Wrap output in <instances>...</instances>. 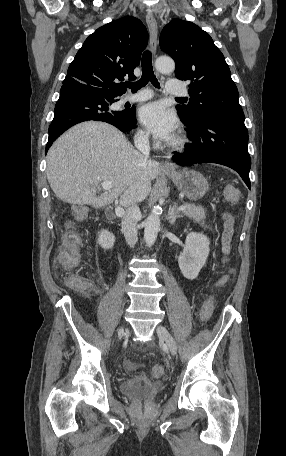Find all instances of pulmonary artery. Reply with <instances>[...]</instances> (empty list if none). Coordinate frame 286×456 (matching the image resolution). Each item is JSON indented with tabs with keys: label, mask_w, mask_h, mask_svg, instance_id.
Wrapping results in <instances>:
<instances>
[{
	"label": "pulmonary artery",
	"mask_w": 286,
	"mask_h": 456,
	"mask_svg": "<svg viewBox=\"0 0 286 456\" xmlns=\"http://www.w3.org/2000/svg\"><path fill=\"white\" fill-rule=\"evenodd\" d=\"M166 91L168 94L173 96H187L188 92L183 88L177 78H170L167 82ZM153 93L149 90L140 91L134 95L128 96L127 101L130 102H141L150 99Z\"/></svg>",
	"instance_id": "e3ab8cb5"
}]
</instances>
